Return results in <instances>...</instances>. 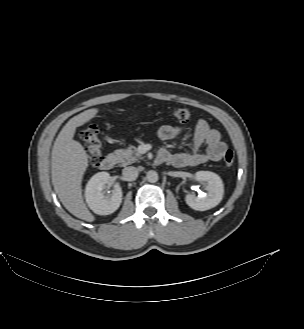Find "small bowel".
Listing matches in <instances>:
<instances>
[{
	"instance_id": "c3829d8e",
	"label": "small bowel",
	"mask_w": 304,
	"mask_h": 329,
	"mask_svg": "<svg viewBox=\"0 0 304 329\" xmlns=\"http://www.w3.org/2000/svg\"><path fill=\"white\" fill-rule=\"evenodd\" d=\"M183 132L179 126L163 125L158 130V136L162 140H171ZM206 145L205 151L201 148ZM227 149L226 143L221 139L220 133L211 128L204 119H199L194 125V131L189 144V150L170 152L162 149L163 159L175 167H193L206 162L219 161Z\"/></svg>"
}]
</instances>
